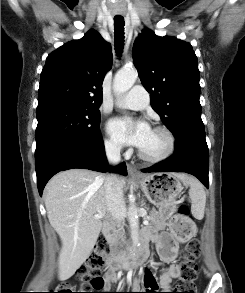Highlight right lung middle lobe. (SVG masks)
<instances>
[{
  "label": "right lung middle lobe",
  "instance_id": "obj_1",
  "mask_svg": "<svg viewBox=\"0 0 245 293\" xmlns=\"http://www.w3.org/2000/svg\"><path fill=\"white\" fill-rule=\"evenodd\" d=\"M35 160L52 147L66 142L96 141L100 113L95 108L54 105L37 109Z\"/></svg>",
  "mask_w": 245,
  "mask_h": 293
}]
</instances>
